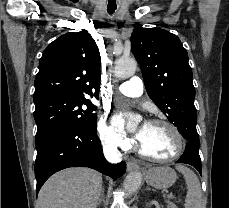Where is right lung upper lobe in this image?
<instances>
[{
	"label": "right lung upper lobe",
	"instance_id": "cb5924a9",
	"mask_svg": "<svg viewBox=\"0 0 229 208\" xmlns=\"http://www.w3.org/2000/svg\"><path fill=\"white\" fill-rule=\"evenodd\" d=\"M101 57L88 32L66 33L50 43L39 61L33 100L50 95L98 98Z\"/></svg>",
	"mask_w": 229,
	"mask_h": 208
}]
</instances>
